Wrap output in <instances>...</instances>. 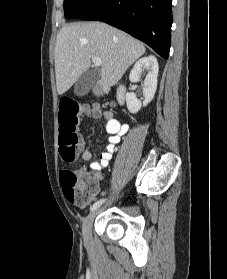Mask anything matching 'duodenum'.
<instances>
[{"label": "duodenum", "mask_w": 227, "mask_h": 279, "mask_svg": "<svg viewBox=\"0 0 227 279\" xmlns=\"http://www.w3.org/2000/svg\"><path fill=\"white\" fill-rule=\"evenodd\" d=\"M108 92V88L105 86H100L96 89V93L98 95H105ZM125 95H126V88L122 84H118L116 86V97L120 103H123L125 101Z\"/></svg>", "instance_id": "duodenum-1"}]
</instances>
